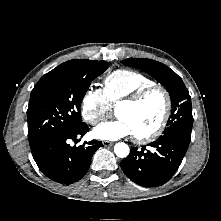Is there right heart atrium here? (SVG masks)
<instances>
[{
    "label": "right heart atrium",
    "mask_w": 221,
    "mask_h": 221,
    "mask_svg": "<svg viewBox=\"0 0 221 221\" xmlns=\"http://www.w3.org/2000/svg\"><path fill=\"white\" fill-rule=\"evenodd\" d=\"M108 103L101 89L89 88L83 95L80 105L82 118L90 125H97L110 111Z\"/></svg>",
    "instance_id": "d8ad5b80"
}]
</instances>
